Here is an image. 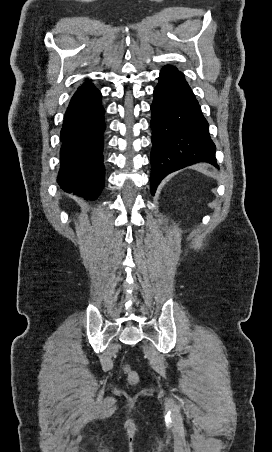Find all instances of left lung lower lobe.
Instances as JSON below:
<instances>
[{
    "label": "left lung lower lobe",
    "mask_w": 272,
    "mask_h": 452,
    "mask_svg": "<svg viewBox=\"0 0 272 452\" xmlns=\"http://www.w3.org/2000/svg\"><path fill=\"white\" fill-rule=\"evenodd\" d=\"M153 94L152 195L171 172L197 162L217 166L209 125L184 75L174 66H165Z\"/></svg>",
    "instance_id": "1"
}]
</instances>
